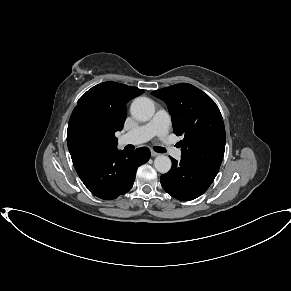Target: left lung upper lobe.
Returning a JSON list of instances; mask_svg holds the SVG:
<instances>
[{
	"label": "left lung upper lobe",
	"instance_id": "1",
	"mask_svg": "<svg viewBox=\"0 0 291 291\" xmlns=\"http://www.w3.org/2000/svg\"><path fill=\"white\" fill-rule=\"evenodd\" d=\"M172 117L174 133L183 136L181 158L207 170H219L225 150V128L219 108L203 91L187 83L153 91Z\"/></svg>",
	"mask_w": 291,
	"mask_h": 291
}]
</instances>
